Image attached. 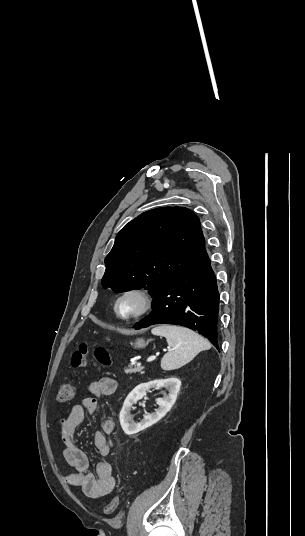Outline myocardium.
<instances>
[{
    "label": "myocardium",
    "mask_w": 305,
    "mask_h": 536,
    "mask_svg": "<svg viewBox=\"0 0 305 536\" xmlns=\"http://www.w3.org/2000/svg\"><path fill=\"white\" fill-rule=\"evenodd\" d=\"M128 294H138L139 296H141V298L143 299V307L138 313L130 317H123L119 314L118 302L120 301L122 297ZM153 306H154V297L151 291L144 286L135 285V286H129L119 292V294L114 299V302L112 305V311H113V315L116 321L120 323H134V322H138L144 319L147 315H149V313L153 309Z\"/></svg>",
    "instance_id": "obj_1"
}]
</instances>
